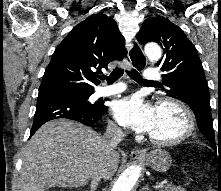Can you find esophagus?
Instances as JSON below:
<instances>
[{
	"label": "esophagus",
	"instance_id": "34e87169",
	"mask_svg": "<svg viewBox=\"0 0 221 191\" xmlns=\"http://www.w3.org/2000/svg\"><path fill=\"white\" fill-rule=\"evenodd\" d=\"M128 57L132 66L139 70L144 68L146 64V57L144 56L142 47L136 40L133 41L131 47L128 50ZM143 154L144 152L139 148H135L131 151V157L133 158L140 157Z\"/></svg>",
	"mask_w": 221,
	"mask_h": 191
}]
</instances>
